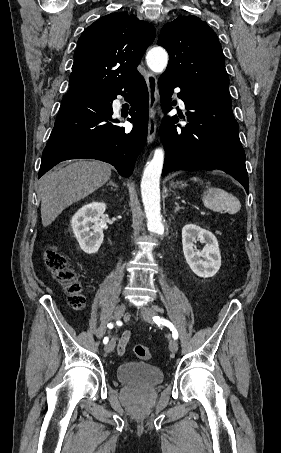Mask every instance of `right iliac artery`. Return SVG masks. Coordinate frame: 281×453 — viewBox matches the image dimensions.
<instances>
[{"instance_id": "right-iliac-artery-1", "label": "right iliac artery", "mask_w": 281, "mask_h": 453, "mask_svg": "<svg viewBox=\"0 0 281 453\" xmlns=\"http://www.w3.org/2000/svg\"><path fill=\"white\" fill-rule=\"evenodd\" d=\"M107 327H109L110 329H112V328H113V324H112V323H109V324L107 325ZM108 340H109L108 337H105L104 340H103V343H104V344H107V343H108Z\"/></svg>"}]
</instances>
